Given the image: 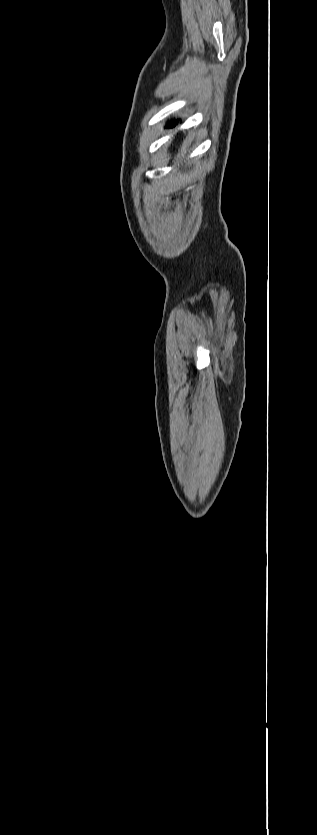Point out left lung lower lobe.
Wrapping results in <instances>:
<instances>
[{
	"mask_svg": "<svg viewBox=\"0 0 317 835\" xmlns=\"http://www.w3.org/2000/svg\"><path fill=\"white\" fill-rule=\"evenodd\" d=\"M177 122H178V120H176V121H171V122L167 125V127H168V128L174 127V126H175V124H176Z\"/></svg>",
	"mask_w": 317,
	"mask_h": 835,
	"instance_id": "0a47b994",
	"label": "left lung lower lobe"
}]
</instances>
